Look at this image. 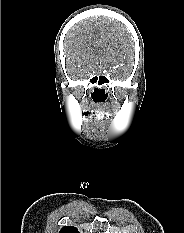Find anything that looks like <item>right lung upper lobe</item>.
<instances>
[{"label":"right lung upper lobe","mask_w":184,"mask_h":233,"mask_svg":"<svg viewBox=\"0 0 184 233\" xmlns=\"http://www.w3.org/2000/svg\"><path fill=\"white\" fill-rule=\"evenodd\" d=\"M59 233H79L78 229L74 226H65Z\"/></svg>","instance_id":"obj_1"}]
</instances>
